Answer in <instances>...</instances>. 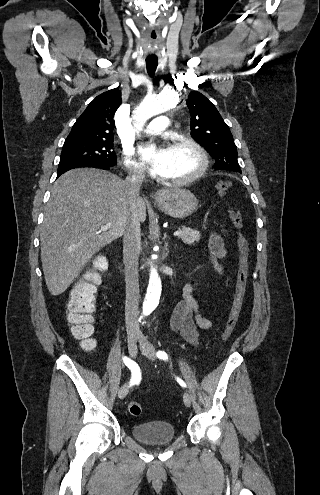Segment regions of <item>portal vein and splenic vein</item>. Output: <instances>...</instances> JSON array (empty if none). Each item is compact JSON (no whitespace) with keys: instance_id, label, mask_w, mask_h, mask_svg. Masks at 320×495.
I'll use <instances>...</instances> for the list:
<instances>
[{"instance_id":"portal-vein-and-splenic-vein-1","label":"portal vein and splenic vein","mask_w":320,"mask_h":495,"mask_svg":"<svg viewBox=\"0 0 320 495\" xmlns=\"http://www.w3.org/2000/svg\"><path fill=\"white\" fill-rule=\"evenodd\" d=\"M106 228H108V226H107ZM181 234H182V232H181V231H176V232H174V235H175V236H180Z\"/></svg>"}]
</instances>
